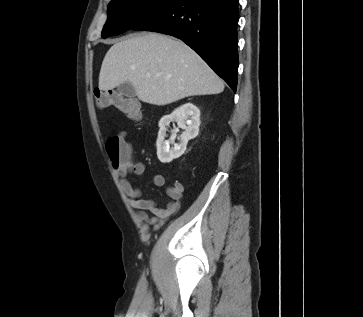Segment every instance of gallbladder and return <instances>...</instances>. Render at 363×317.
<instances>
[{
	"label": "gallbladder",
	"mask_w": 363,
	"mask_h": 317,
	"mask_svg": "<svg viewBox=\"0 0 363 317\" xmlns=\"http://www.w3.org/2000/svg\"><path fill=\"white\" fill-rule=\"evenodd\" d=\"M118 92L127 97L133 98L136 96V91L130 82H124L117 87Z\"/></svg>",
	"instance_id": "bac80fb5"
}]
</instances>
